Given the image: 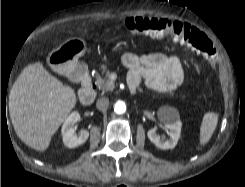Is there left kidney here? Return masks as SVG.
<instances>
[{
  "instance_id": "left-kidney-1",
  "label": "left kidney",
  "mask_w": 245,
  "mask_h": 187,
  "mask_svg": "<svg viewBox=\"0 0 245 187\" xmlns=\"http://www.w3.org/2000/svg\"><path fill=\"white\" fill-rule=\"evenodd\" d=\"M158 118L168 130L169 139L160 137L157 134V129L152 128L147 132V136L152 143L158 148L166 150L173 149L180 138L181 126L179 112L177 109L170 106L160 107L158 110Z\"/></svg>"
}]
</instances>
